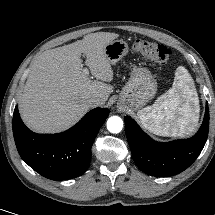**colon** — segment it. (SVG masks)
<instances>
[{
  "mask_svg": "<svg viewBox=\"0 0 215 215\" xmlns=\"http://www.w3.org/2000/svg\"><path fill=\"white\" fill-rule=\"evenodd\" d=\"M134 50L141 56L159 64H166L170 60L171 51L165 45L148 40H136Z\"/></svg>",
  "mask_w": 215,
  "mask_h": 215,
  "instance_id": "5ec220e1",
  "label": "colon"
}]
</instances>
